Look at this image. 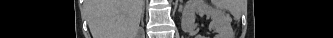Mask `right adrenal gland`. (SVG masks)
Returning a JSON list of instances; mask_svg holds the SVG:
<instances>
[{
	"label": "right adrenal gland",
	"mask_w": 333,
	"mask_h": 38,
	"mask_svg": "<svg viewBox=\"0 0 333 38\" xmlns=\"http://www.w3.org/2000/svg\"><path fill=\"white\" fill-rule=\"evenodd\" d=\"M144 12H145V2L143 4V10H142V14H141V22L143 23V18H144Z\"/></svg>",
	"instance_id": "1"
}]
</instances>
